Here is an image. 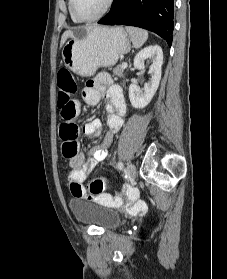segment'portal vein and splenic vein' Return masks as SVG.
<instances>
[{
  "instance_id": "portal-vein-and-splenic-vein-1",
  "label": "portal vein and splenic vein",
  "mask_w": 227,
  "mask_h": 279,
  "mask_svg": "<svg viewBox=\"0 0 227 279\" xmlns=\"http://www.w3.org/2000/svg\"><path fill=\"white\" fill-rule=\"evenodd\" d=\"M121 67H122L123 69L127 68V63H126V62H123V63L121 64Z\"/></svg>"
}]
</instances>
